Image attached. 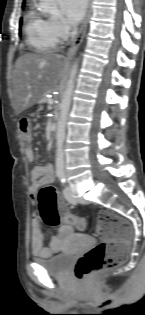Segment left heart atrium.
Masks as SVG:
<instances>
[{"label": "left heart atrium", "mask_w": 145, "mask_h": 315, "mask_svg": "<svg viewBox=\"0 0 145 315\" xmlns=\"http://www.w3.org/2000/svg\"><path fill=\"white\" fill-rule=\"evenodd\" d=\"M88 0H61L66 21L71 25L78 24L85 13Z\"/></svg>", "instance_id": "left-heart-atrium-1"}]
</instances>
